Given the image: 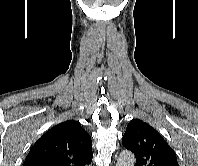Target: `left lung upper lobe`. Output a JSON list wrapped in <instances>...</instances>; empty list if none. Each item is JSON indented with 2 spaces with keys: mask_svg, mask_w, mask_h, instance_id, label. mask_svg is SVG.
Here are the masks:
<instances>
[{
  "mask_svg": "<svg viewBox=\"0 0 198 166\" xmlns=\"http://www.w3.org/2000/svg\"><path fill=\"white\" fill-rule=\"evenodd\" d=\"M123 145L136 157V166H179L176 154L150 125L132 120L123 136Z\"/></svg>",
  "mask_w": 198,
  "mask_h": 166,
  "instance_id": "5c2ea615",
  "label": "left lung upper lobe"
}]
</instances>
